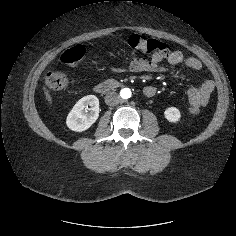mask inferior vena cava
<instances>
[{"label":"inferior vena cava","instance_id":"obj_1","mask_svg":"<svg viewBox=\"0 0 236 236\" xmlns=\"http://www.w3.org/2000/svg\"><path fill=\"white\" fill-rule=\"evenodd\" d=\"M121 101L118 93L112 91L108 92L105 96V103L109 106H115Z\"/></svg>","mask_w":236,"mask_h":236}]
</instances>
